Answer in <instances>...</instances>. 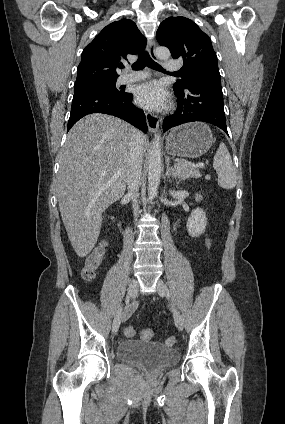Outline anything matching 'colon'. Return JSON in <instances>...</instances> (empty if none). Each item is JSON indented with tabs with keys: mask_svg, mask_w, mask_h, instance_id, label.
I'll list each match as a JSON object with an SVG mask.
<instances>
[{
	"mask_svg": "<svg viewBox=\"0 0 285 424\" xmlns=\"http://www.w3.org/2000/svg\"><path fill=\"white\" fill-rule=\"evenodd\" d=\"M206 245L208 248L211 245V239L209 237H207L206 239ZM106 251H107L106 242H101L94 248V250L91 253H89L85 257L83 262V268L81 271L83 279L90 281L95 277L96 272L101 267L104 261ZM124 334L126 337H133L135 334V329L132 326H128L125 329ZM140 336L144 340H150L153 337V332L150 329H145L141 331ZM166 342L168 344H174L176 342V339L174 337H169L166 340Z\"/></svg>",
	"mask_w": 285,
	"mask_h": 424,
	"instance_id": "colon-1",
	"label": "colon"
}]
</instances>
